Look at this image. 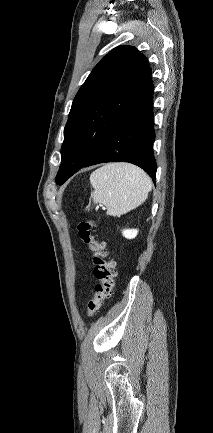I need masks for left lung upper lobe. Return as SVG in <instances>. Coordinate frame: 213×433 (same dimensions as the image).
<instances>
[{"label": "left lung upper lobe", "instance_id": "1", "mask_svg": "<svg viewBox=\"0 0 213 433\" xmlns=\"http://www.w3.org/2000/svg\"><path fill=\"white\" fill-rule=\"evenodd\" d=\"M150 76L147 58L127 45L114 48L94 67L74 98L64 128L57 184L93 157Z\"/></svg>", "mask_w": 213, "mask_h": 433}]
</instances>
